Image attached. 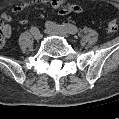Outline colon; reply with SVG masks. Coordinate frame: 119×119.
Returning a JSON list of instances; mask_svg holds the SVG:
<instances>
[{
	"instance_id": "5ec220e1",
	"label": "colon",
	"mask_w": 119,
	"mask_h": 119,
	"mask_svg": "<svg viewBox=\"0 0 119 119\" xmlns=\"http://www.w3.org/2000/svg\"><path fill=\"white\" fill-rule=\"evenodd\" d=\"M118 29V24L117 20L115 18L110 19L107 23V31L110 34H113L117 31ZM5 27L4 25H0V45H2L5 41Z\"/></svg>"
}]
</instances>
